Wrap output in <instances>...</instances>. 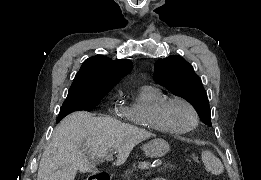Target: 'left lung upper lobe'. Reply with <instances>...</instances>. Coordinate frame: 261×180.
Listing matches in <instances>:
<instances>
[{
    "label": "left lung upper lobe",
    "mask_w": 261,
    "mask_h": 180,
    "mask_svg": "<svg viewBox=\"0 0 261 180\" xmlns=\"http://www.w3.org/2000/svg\"><path fill=\"white\" fill-rule=\"evenodd\" d=\"M154 80L169 91L190 102L204 124H211L210 107L202 81L184 58L171 55L159 59L155 65Z\"/></svg>",
    "instance_id": "1"
}]
</instances>
